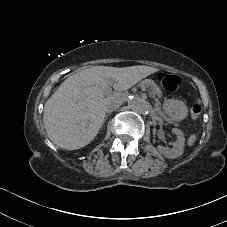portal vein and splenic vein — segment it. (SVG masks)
I'll use <instances>...</instances> for the list:
<instances>
[{
    "mask_svg": "<svg viewBox=\"0 0 227 227\" xmlns=\"http://www.w3.org/2000/svg\"><path fill=\"white\" fill-rule=\"evenodd\" d=\"M140 88H141L143 91L146 89V87H145L144 85H142Z\"/></svg>",
    "mask_w": 227,
    "mask_h": 227,
    "instance_id": "1",
    "label": "portal vein and splenic vein"
}]
</instances>
